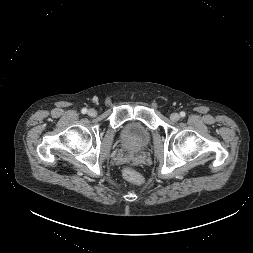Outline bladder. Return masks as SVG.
<instances>
[{
  "instance_id": "obj_1",
  "label": "bladder",
  "mask_w": 253,
  "mask_h": 253,
  "mask_svg": "<svg viewBox=\"0 0 253 253\" xmlns=\"http://www.w3.org/2000/svg\"><path fill=\"white\" fill-rule=\"evenodd\" d=\"M149 130L135 122L127 124L122 131V140L125 145L134 150L146 147L150 142Z\"/></svg>"
}]
</instances>
